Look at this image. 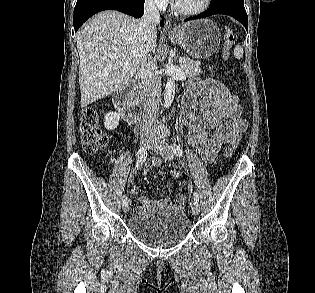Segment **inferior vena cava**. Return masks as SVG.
<instances>
[{"mask_svg":"<svg viewBox=\"0 0 315 293\" xmlns=\"http://www.w3.org/2000/svg\"><path fill=\"white\" fill-rule=\"evenodd\" d=\"M159 19L155 1L145 0L144 15L140 21L144 56L137 73V76L142 79L144 99L141 134H154L158 106L161 101V80L152 71L154 58L150 55L155 49L154 33Z\"/></svg>","mask_w":315,"mask_h":293,"instance_id":"inferior-vena-cava-1","label":"inferior vena cava"}]
</instances>
